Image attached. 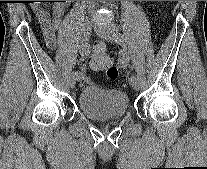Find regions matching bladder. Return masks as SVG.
<instances>
[{
    "label": "bladder",
    "instance_id": "31cf9c89",
    "mask_svg": "<svg viewBox=\"0 0 207 169\" xmlns=\"http://www.w3.org/2000/svg\"><path fill=\"white\" fill-rule=\"evenodd\" d=\"M78 107L84 116L92 120H118L127 114L129 98L118 89L89 85L80 91Z\"/></svg>",
    "mask_w": 207,
    "mask_h": 169
}]
</instances>
